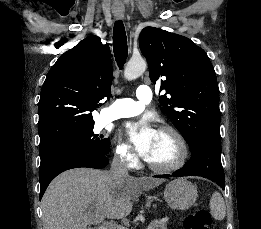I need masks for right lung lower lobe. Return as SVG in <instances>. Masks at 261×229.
Listing matches in <instances>:
<instances>
[{"label":"right lung lower lobe","mask_w":261,"mask_h":229,"mask_svg":"<svg viewBox=\"0 0 261 229\" xmlns=\"http://www.w3.org/2000/svg\"><path fill=\"white\" fill-rule=\"evenodd\" d=\"M108 163V158L100 155L59 158L41 163L39 169L40 200L49 183L61 172L79 167L101 169Z\"/></svg>","instance_id":"98d812e1"}]
</instances>
